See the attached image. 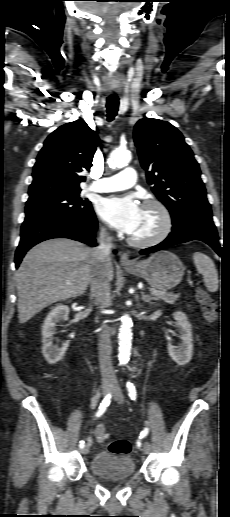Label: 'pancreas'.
<instances>
[{"instance_id": "cf45deb5", "label": "pancreas", "mask_w": 230, "mask_h": 517, "mask_svg": "<svg viewBox=\"0 0 230 517\" xmlns=\"http://www.w3.org/2000/svg\"><path fill=\"white\" fill-rule=\"evenodd\" d=\"M179 294L169 293L166 291H163V294L156 295V300H163L166 303L173 304L175 301L179 298Z\"/></svg>"}]
</instances>
